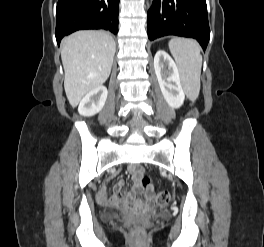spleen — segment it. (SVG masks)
Masks as SVG:
<instances>
[{
    "mask_svg": "<svg viewBox=\"0 0 264 247\" xmlns=\"http://www.w3.org/2000/svg\"><path fill=\"white\" fill-rule=\"evenodd\" d=\"M169 49L179 69L183 88L191 100H196L200 91L202 56L200 46L191 39L173 38Z\"/></svg>",
    "mask_w": 264,
    "mask_h": 247,
    "instance_id": "3e777b00",
    "label": "spleen"
}]
</instances>
